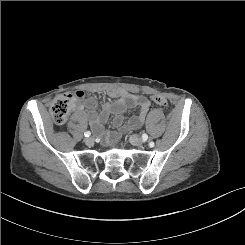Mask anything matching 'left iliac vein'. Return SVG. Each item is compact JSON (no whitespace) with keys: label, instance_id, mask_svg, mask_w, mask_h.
<instances>
[{"label":"left iliac vein","instance_id":"4c4485c4","mask_svg":"<svg viewBox=\"0 0 245 245\" xmlns=\"http://www.w3.org/2000/svg\"><path fill=\"white\" fill-rule=\"evenodd\" d=\"M130 142L135 146H141L143 144V140L136 134L130 136Z\"/></svg>","mask_w":245,"mask_h":245}]
</instances>
